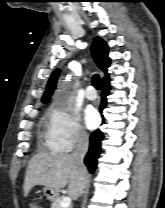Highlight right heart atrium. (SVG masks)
Returning a JSON list of instances; mask_svg holds the SVG:
<instances>
[{"instance_id": "d8ad5b80", "label": "right heart atrium", "mask_w": 165, "mask_h": 208, "mask_svg": "<svg viewBox=\"0 0 165 208\" xmlns=\"http://www.w3.org/2000/svg\"><path fill=\"white\" fill-rule=\"evenodd\" d=\"M87 141L88 134L76 111L58 104L49 109L46 142L51 150L67 153L85 145Z\"/></svg>"}]
</instances>
